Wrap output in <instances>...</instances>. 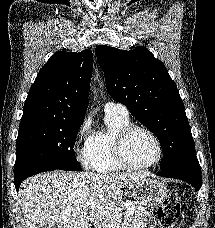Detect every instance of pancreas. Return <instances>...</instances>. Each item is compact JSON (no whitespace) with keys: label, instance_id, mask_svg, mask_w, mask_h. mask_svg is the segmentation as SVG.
<instances>
[{"label":"pancreas","instance_id":"1","mask_svg":"<svg viewBox=\"0 0 215 228\" xmlns=\"http://www.w3.org/2000/svg\"><path fill=\"white\" fill-rule=\"evenodd\" d=\"M128 216L123 220V228H145L148 224L149 212L143 206H136L133 210H127Z\"/></svg>","mask_w":215,"mask_h":228}]
</instances>
